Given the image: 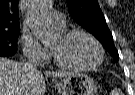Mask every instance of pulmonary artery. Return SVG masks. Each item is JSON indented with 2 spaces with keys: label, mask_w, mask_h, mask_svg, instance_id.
Listing matches in <instances>:
<instances>
[{
  "label": "pulmonary artery",
  "mask_w": 135,
  "mask_h": 95,
  "mask_svg": "<svg viewBox=\"0 0 135 95\" xmlns=\"http://www.w3.org/2000/svg\"><path fill=\"white\" fill-rule=\"evenodd\" d=\"M51 22L57 28H64L65 27V16L60 12L54 11L52 13Z\"/></svg>",
  "instance_id": "pulmonary-artery-1"
}]
</instances>
